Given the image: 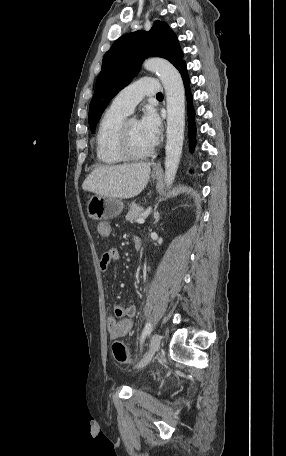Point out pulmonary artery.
Returning a JSON list of instances; mask_svg holds the SVG:
<instances>
[{
  "label": "pulmonary artery",
  "mask_w": 286,
  "mask_h": 456,
  "mask_svg": "<svg viewBox=\"0 0 286 456\" xmlns=\"http://www.w3.org/2000/svg\"><path fill=\"white\" fill-rule=\"evenodd\" d=\"M158 92V80L156 78L142 77L122 89L112 100L111 106L129 114L145 96H153Z\"/></svg>",
  "instance_id": "obj_1"
}]
</instances>
